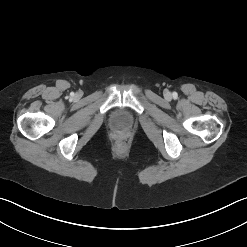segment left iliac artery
<instances>
[{
	"instance_id": "1",
	"label": "left iliac artery",
	"mask_w": 247,
	"mask_h": 247,
	"mask_svg": "<svg viewBox=\"0 0 247 247\" xmlns=\"http://www.w3.org/2000/svg\"><path fill=\"white\" fill-rule=\"evenodd\" d=\"M177 96H178L177 93H173L174 98H177Z\"/></svg>"
}]
</instances>
